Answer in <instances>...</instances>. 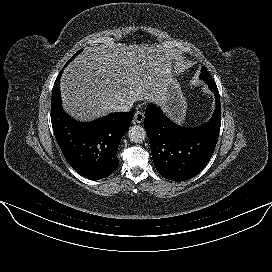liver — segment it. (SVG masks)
Segmentation results:
<instances>
[{"label": "liver", "instance_id": "obj_1", "mask_svg": "<svg viewBox=\"0 0 272 272\" xmlns=\"http://www.w3.org/2000/svg\"><path fill=\"white\" fill-rule=\"evenodd\" d=\"M172 55L148 45L109 44L77 56L61 77L63 107L89 121L112 112L122 101L165 103Z\"/></svg>", "mask_w": 272, "mask_h": 272}]
</instances>
